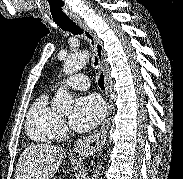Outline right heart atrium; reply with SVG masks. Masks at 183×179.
<instances>
[{"mask_svg": "<svg viewBox=\"0 0 183 179\" xmlns=\"http://www.w3.org/2000/svg\"><path fill=\"white\" fill-rule=\"evenodd\" d=\"M67 130L66 123L63 119L59 118L56 124V133L64 134Z\"/></svg>", "mask_w": 183, "mask_h": 179, "instance_id": "d8ad5b80", "label": "right heart atrium"}]
</instances>
